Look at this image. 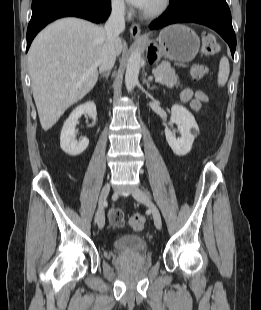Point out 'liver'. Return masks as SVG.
Segmentation results:
<instances>
[{"instance_id": "6515ba94", "label": "liver", "mask_w": 261, "mask_h": 310, "mask_svg": "<svg viewBox=\"0 0 261 310\" xmlns=\"http://www.w3.org/2000/svg\"><path fill=\"white\" fill-rule=\"evenodd\" d=\"M105 40V28L74 17L59 19L36 36L27 55L28 70L44 131L95 86ZM123 47L118 38L116 55Z\"/></svg>"}]
</instances>
